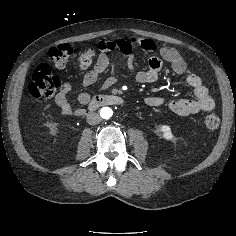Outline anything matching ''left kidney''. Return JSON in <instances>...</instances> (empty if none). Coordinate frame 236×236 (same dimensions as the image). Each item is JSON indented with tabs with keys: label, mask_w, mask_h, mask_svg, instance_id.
<instances>
[{
	"label": "left kidney",
	"mask_w": 236,
	"mask_h": 236,
	"mask_svg": "<svg viewBox=\"0 0 236 236\" xmlns=\"http://www.w3.org/2000/svg\"><path fill=\"white\" fill-rule=\"evenodd\" d=\"M160 131L163 134V138L166 140H171L173 138V134L171 132V128L168 125H162L160 127Z\"/></svg>",
	"instance_id": "5707ae66"
}]
</instances>
